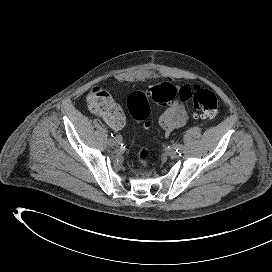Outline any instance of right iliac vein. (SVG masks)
<instances>
[{
  "label": "right iliac vein",
  "instance_id": "1",
  "mask_svg": "<svg viewBox=\"0 0 272 272\" xmlns=\"http://www.w3.org/2000/svg\"><path fill=\"white\" fill-rule=\"evenodd\" d=\"M121 142H122V141H121ZM121 142L118 141L117 143H112L110 140H108V144H109L110 146H113V145L119 146V145L121 144Z\"/></svg>",
  "mask_w": 272,
  "mask_h": 272
}]
</instances>
